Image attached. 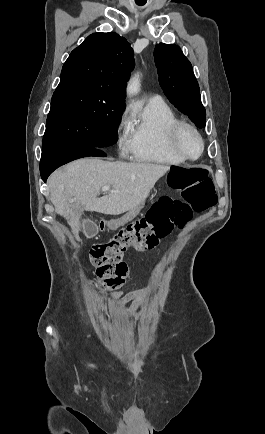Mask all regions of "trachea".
Here are the masks:
<instances>
[{
    "mask_svg": "<svg viewBox=\"0 0 265 434\" xmlns=\"http://www.w3.org/2000/svg\"><path fill=\"white\" fill-rule=\"evenodd\" d=\"M137 5H145L144 3H137Z\"/></svg>",
    "mask_w": 265,
    "mask_h": 434,
    "instance_id": "3493384b",
    "label": "trachea"
}]
</instances>
